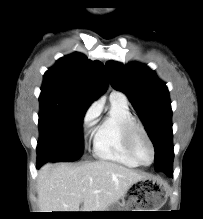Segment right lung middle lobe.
<instances>
[{
  "mask_svg": "<svg viewBox=\"0 0 203 219\" xmlns=\"http://www.w3.org/2000/svg\"><path fill=\"white\" fill-rule=\"evenodd\" d=\"M37 162L74 161L83 153L82 124L90 103L41 91Z\"/></svg>",
  "mask_w": 203,
  "mask_h": 219,
  "instance_id": "obj_1",
  "label": "right lung middle lobe"
}]
</instances>
